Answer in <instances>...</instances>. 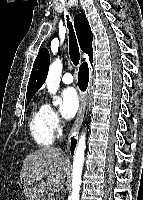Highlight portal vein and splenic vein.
I'll use <instances>...</instances> for the list:
<instances>
[{"label": "portal vein and splenic vein", "mask_w": 143, "mask_h": 200, "mask_svg": "<svg viewBox=\"0 0 143 200\" xmlns=\"http://www.w3.org/2000/svg\"><path fill=\"white\" fill-rule=\"evenodd\" d=\"M43 174H44V176H46L48 174V171H44ZM48 200H54V199L52 197H49Z\"/></svg>", "instance_id": "1"}]
</instances>
